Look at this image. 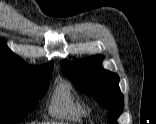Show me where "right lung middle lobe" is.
<instances>
[{"mask_svg": "<svg viewBox=\"0 0 156 124\" xmlns=\"http://www.w3.org/2000/svg\"><path fill=\"white\" fill-rule=\"evenodd\" d=\"M49 76L0 74V124H14L33 112L48 89Z\"/></svg>", "mask_w": 156, "mask_h": 124, "instance_id": "1", "label": "right lung middle lobe"}]
</instances>
